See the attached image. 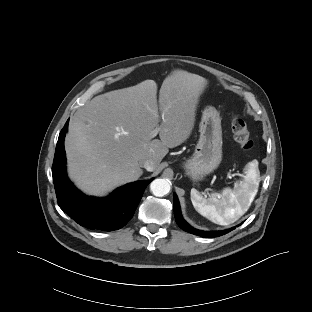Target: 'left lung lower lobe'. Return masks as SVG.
Returning a JSON list of instances; mask_svg holds the SVG:
<instances>
[{
	"mask_svg": "<svg viewBox=\"0 0 312 312\" xmlns=\"http://www.w3.org/2000/svg\"><path fill=\"white\" fill-rule=\"evenodd\" d=\"M173 197H174L175 220H176L178 226L180 228H182L184 231H187L189 233L196 234V235H199V236L205 237V238H214L217 236H222V235H224V234H226V233H228L234 229V228H231V229L223 230V231H201V230H197V229L193 228L183 219V217L181 215L179 201H178L176 194H174Z\"/></svg>",
	"mask_w": 312,
	"mask_h": 312,
	"instance_id": "0a47b994",
	"label": "left lung lower lobe"
}]
</instances>
